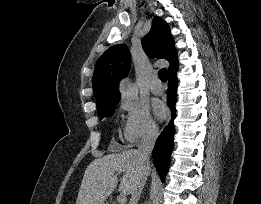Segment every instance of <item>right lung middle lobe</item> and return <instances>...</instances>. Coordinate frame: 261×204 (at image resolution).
<instances>
[{
    "mask_svg": "<svg viewBox=\"0 0 261 204\" xmlns=\"http://www.w3.org/2000/svg\"><path fill=\"white\" fill-rule=\"evenodd\" d=\"M118 102H119V100L98 105L97 110H98L100 119L113 115Z\"/></svg>",
    "mask_w": 261,
    "mask_h": 204,
    "instance_id": "obj_1",
    "label": "right lung middle lobe"
}]
</instances>
